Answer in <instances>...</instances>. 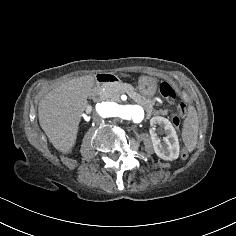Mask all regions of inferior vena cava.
Masks as SVG:
<instances>
[{
	"label": "inferior vena cava",
	"mask_w": 236,
	"mask_h": 236,
	"mask_svg": "<svg viewBox=\"0 0 236 236\" xmlns=\"http://www.w3.org/2000/svg\"><path fill=\"white\" fill-rule=\"evenodd\" d=\"M93 122L96 123L97 125H101L103 123V118L101 116H98L95 111L93 112L92 116Z\"/></svg>",
	"instance_id": "obj_1"
}]
</instances>
